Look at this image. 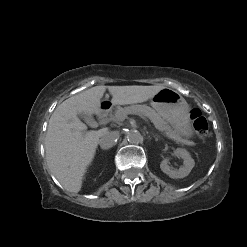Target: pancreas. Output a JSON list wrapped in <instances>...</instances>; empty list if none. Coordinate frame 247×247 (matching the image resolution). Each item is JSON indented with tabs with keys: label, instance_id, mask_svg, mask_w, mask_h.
Here are the masks:
<instances>
[{
	"label": "pancreas",
	"instance_id": "pancreas-1",
	"mask_svg": "<svg viewBox=\"0 0 247 247\" xmlns=\"http://www.w3.org/2000/svg\"><path fill=\"white\" fill-rule=\"evenodd\" d=\"M137 113L147 116L154 124L155 128L163 133L169 139L174 140L176 143L187 144V141L182 139L178 133L170 129L167 123L161 118V116L153 110L151 107L146 105H131L128 107H119L115 114L110 116V120L117 123L123 121L128 114Z\"/></svg>",
	"mask_w": 247,
	"mask_h": 247
}]
</instances>
